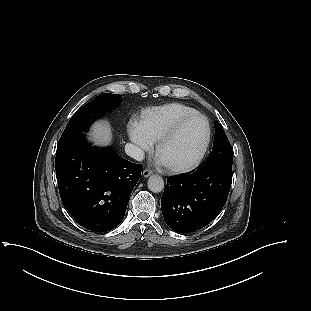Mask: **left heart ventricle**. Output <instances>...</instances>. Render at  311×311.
I'll return each instance as SVG.
<instances>
[{
	"mask_svg": "<svg viewBox=\"0 0 311 311\" xmlns=\"http://www.w3.org/2000/svg\"><path fill=\"white\" fill-rule=\"evenodd\" d=\"M206 136L205 123L193 118L183 125L177 135L162 146L158 157L167 165L192 161L201 149Z\"/></svg>",
	"mask_w": 311,
	"mask_h": 311,
	"instance_id": "obj_1",
	"label": "left heart ventricle"
}]
</instances>
